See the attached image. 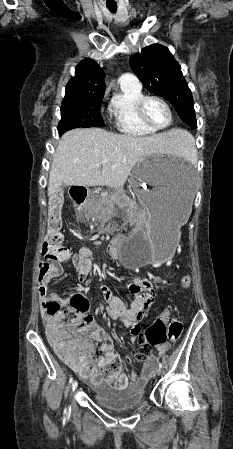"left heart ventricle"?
I'll return each mask as SVG.
<instances>
[{
  "instance_id": "left-heart-ventricle-1",
  "label": "left heart ventricle",
  "mask_w": 233,
  "mask_h": 449,
  "mask_svg": "<svg viewBox=\"0 0 233 449\" xmlns=\"http://www.w3.org/2000/svg\"><path fill=\"white\" fill-rule=\"evenodd\" d=\"M145 115L150 123L157 127H162L169 121L167 109L156 100H150L146 103Z\"/></svg>"
}]
</instances>
